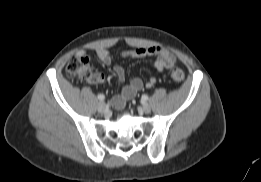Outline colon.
<instances>
[{
    "instance_id": "1",
    "label": "colon",
    "mask_w": 261,
    "mask_h": 182,
    "mask_svg": "<svg viewBox=\"0 0 261 182\" xmlns=\"http://www.w3.org/2000/svg\"><path fill=\"white\" fill-rule=\"evenodd\" d=\"M91 62L85 56L74 55L66 65V73L69 77L77 80H90L93 76ZM171 78L180 83L184 80V72L175 67L170 72Z\"/></svg>"
}]
</instances>
